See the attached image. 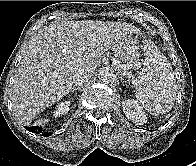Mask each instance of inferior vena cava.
Here are the masks:
<instances>
[{
	"label": "inferior vena cava",
	"instance_id": "obj_1",
	"mask_svg": "<svg viewBox=\"0 0 196 166\" xmlns=\"http://www.w3.org/2000/svg\"><path fill=\"white\" fill-rule=\"evenodd\" d=\"M92 76L89 72H76L73 75V82L77 85H81L86 82Z\"/></svg>",
	"mask_w": 196,
	"mask_h": 166
}]
</instances>
